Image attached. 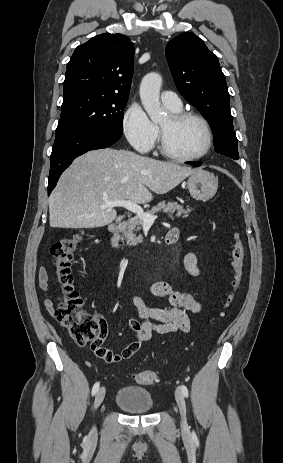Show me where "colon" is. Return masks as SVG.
Segmentation results:
<instances>
[{
  "label": "colon",
  "instance_id": "5ec220e1",
  "mask_svg": "<svg viewBox=\"0 0 283 463\" xmlns=\"http://www.w3.org/2000/svg\"><path fill=\"white\" fill-rule=\"evenodd\" d=\"M81 241L82 234L75 233L52 245L54 274L60 293V301L54 310V316L78 345L90 344L97 357L109 363L116 362L118 354L103 346L107 330L105 321L98 313L85 307L83 299L73 286L71 263ZM243 267L244 246L240 235L236 233L232 250V292L226 300V308L231 307L235 293L241 286ZM134 379L143 385H151L159 381L157 374L150 370L135 373Z\"/></svg>",
  "mask_w": 283,
  "mask_h": 463
}]
</instances>
